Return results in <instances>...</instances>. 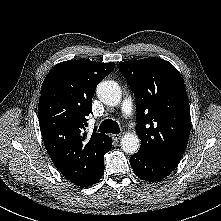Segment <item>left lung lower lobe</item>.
Listing matches in <instances>:
<instances>
[{"mask_svg": "<svg viewBox=\"0 0 221 221\" xmlns=\"http://www.w3.org/2000/svg\"><path fill=\"white\" fill-rule=\"evenodd\" d=\"M134 173L141 179L154 182L165 178L179 162L159 160L137 152L130 158Z\"/></svg>", "mask_w": 221, "mask_h": 221, "instance_id": "1", "label": "left lung lower lobe"}]
</instances>
